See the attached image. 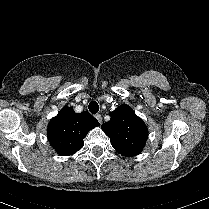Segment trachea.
Returning a JSON list of instances; mask_svg holds the SVG:
<instances>
[{
  "label": "trachea",
  "instance_id": "obj_1",
  "mask_svg": "<svg viewBox=\"0 0 209 209\" xmlns=\"http://www.w3.org/2000/svg\"><path fill=\"white\" fill-rule=\"evenodd\" d=\"M88 108L92 114H96L99 111V105L96 101H91L88 105Z\"/></svg>",
  "mask_w": 209,
  "mask_h": 209
}]
</instances>
